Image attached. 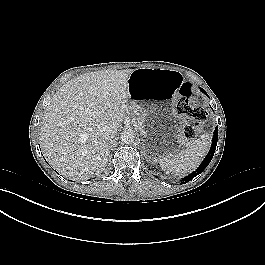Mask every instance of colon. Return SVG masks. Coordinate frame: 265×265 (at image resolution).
I'll use <instances>...</instances> for the list:
<instances>
[{"label": "colon", "instance_id": "colon-1", "mask_svg": "<svg viewBox=\"0 0 265 265\" xmlns=\"http://www.w3.org/2000/svg\"><path fill=\"white\" fill-rule=\"evenodd\" d=\"M193 92L189 84H184L181 88V97L176 105V111L181 116L188 119L183 127V138L194 139L201 131L202 124L206 120V112L193 101Z\"/></svg>", "mask_w": 265, "mask_h": 265}]
</instances>
